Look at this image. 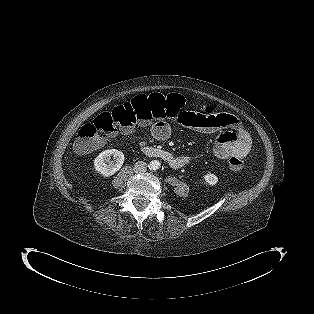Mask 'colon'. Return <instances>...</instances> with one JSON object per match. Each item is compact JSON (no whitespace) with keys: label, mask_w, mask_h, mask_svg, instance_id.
Returning <instances> with one entry per match:
<instances>
[{"label":"colon","mask_w":314,"mask_h":314,"mask_svg":"<svg viewBox=\"0 0 314 314\" xmlns=\"http://www.w3.org/2000/svg\"><path fill=\"white\" fill-rule=\"evenodd\" d=\"M186 108L191 109V106L179 94L138 95L111 112L99 114L91 124L83 125L73 144L74 151L78 154L90 153L103 145L104 135L128 132L137 125H147L161 119H175L176 114ZM229 166L233 170H240L244 162L233 157L229 160Z\"/></svg>","instance_id":"colon-1"}]
</instances>
